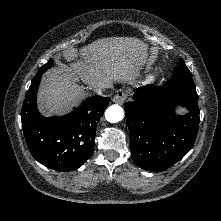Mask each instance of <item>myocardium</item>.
<instances>
[{"label": "myocardium", "mask_w": 221, "mask_h": 221, "mask_svg": "<svg viewBox=\"0 0 221 221\" xmlns=\"http://www.w3.org/2000/svg\"><path fill=\"white\" fill-rule=\"evenodd\" d=\"M149 80H150V81H153V80H154V76H150V77H149Z\"/></svg>", "instance_id": "f54148a6"}]
</instances>
